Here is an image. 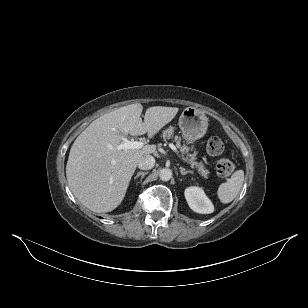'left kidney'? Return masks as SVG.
<instances>
[{"label":"left kidney","mask_w":308,"mask_h":308,"mask_svg":"<svg viewBox=\"0 0 308 308\" xmlns=\"http://www.w3.org/2000/svg\"><path fill=\"white\" fill-rule=\"evenodd\" d=\"M189 207L200 214H209L214 211V206L204 191L199 187H189L184 192Z\"/></svg>","instance_id":"5707ae66"}]
</instances>
